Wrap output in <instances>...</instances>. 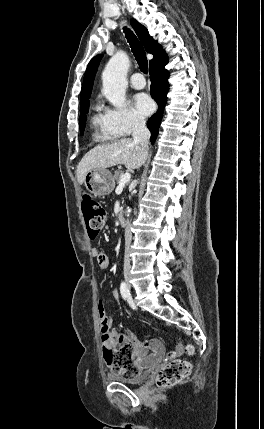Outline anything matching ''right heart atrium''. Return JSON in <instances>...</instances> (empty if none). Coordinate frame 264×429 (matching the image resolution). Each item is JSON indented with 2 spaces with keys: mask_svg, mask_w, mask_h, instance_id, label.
Listing matches in <instances>:
<instances>
[{
  "mask_svg": "<svg viewBox=\"0 0 264 429\" xmlns=\"http://www.w3.org/2000/svg\"><path fill=\"white\" fill-rule=\"evenodd\" d=\"M104 114L109 127L118 137L128 136L144 126V119L126 105L106 108Z\"/></svg>",
  "mask_w": 264,
  "mask_h": 429,
  "instance_id": "right-heart-atrium-1",
  "label": "right heart atrium"
}]
</instances>
